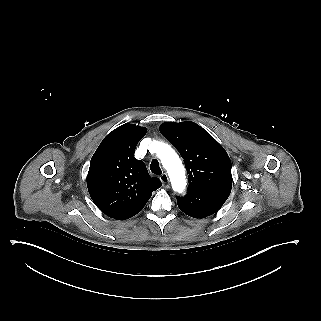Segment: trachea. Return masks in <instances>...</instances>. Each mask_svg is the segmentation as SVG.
<instances>
[{"label":"trachea","instance_id":"trachea-1","mask_svg":"<svg viewBox=\"0 0 321 321\" xmlns=\"http://www.w3.org/2000/svg\"><path fill=\"white\" fill-rule=\"evenodd\" d=\"M150 169L152 171V173L156 174V175H161L162 174V170L160 168L159 162L157 159H153L151 164H150Z\"/></svg>","mask_w":321,"mask_h":321}]
</instances>
